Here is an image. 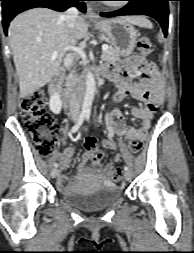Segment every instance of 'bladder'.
Instances as JSON below:
<instances>
[{
    "mask_svg": "<svg viewBox=\"0 0 194 253\" xmlns=\"http://www.w3.org/2000/svg\"><path fill=\"white\" fill-rule=\"evenodd\" d=\"M121 189L113 184L100 185L88 190H71L62 195L69 205L83 211H99L117 202Z\"/></svg>",
    "mask_w": 194,
    "mask_h": 253,
    "instance_id": "bladder-1",
    "label": "bladder"
}]
</instances>
